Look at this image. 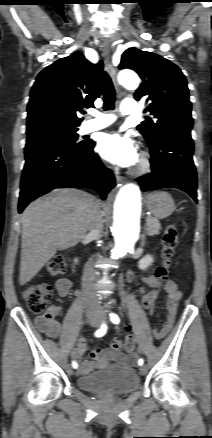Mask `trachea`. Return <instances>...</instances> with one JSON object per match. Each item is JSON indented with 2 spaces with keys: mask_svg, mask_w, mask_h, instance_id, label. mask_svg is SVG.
<instances>
[{
  "mask_svg": "<svg viewBox=\"0 0 212 438\" xmlns=\"http://www.w3.org/2000/svg\"><path fill=\"white\" fill-rule=\"evenodd\" d=\"M115 89L112 80L107 72L103 75V108L104 110H113L115 103Z\"/></svg>",
  "mask_w": 212,
  "mask_h": 438,
  "instance_id": "trachea-1",
  "label": "trachea"
}]
</instances>
